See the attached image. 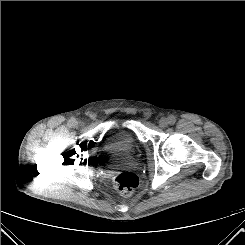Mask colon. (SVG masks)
Wrapping results in <instances>:
<instances>
[{"instance_id":"5ec220e1","label":"colon","mask_w":245,"mask_h":245,"mask_svg":"<svg viewBox=\"0 0 245 245\" xmlns=\"http://www.w3.org/2000/svg\"><path fill=\"white\" fill-rule=\"evenodd\" d=\"M138 176L131 171L116 174L113 178V187L124 196H129L138 187Z\"/></svg>"}]
</instances>
